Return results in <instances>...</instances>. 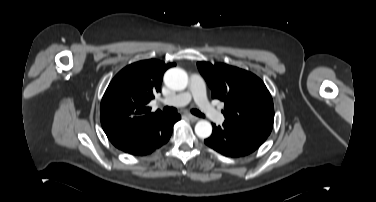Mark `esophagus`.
<instances>
[{
	"label": "esophagus",
	"mask_w": 376,
	"mask_h": 202,
	"mask_svg": "<svg viewBox=\"0 0 376 202\" xmlns=\"http://www.w3.org/2000/svg\"><path fill=\"white\" fill-rule=\"evenodd\" d=\"M186 116L189 118V120H191L192 122H196L198 120V118L194 115H191V114H186Z\"/></svg>",
	"instance_id": "obj_1"
}]
</instances>
